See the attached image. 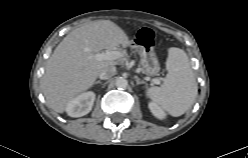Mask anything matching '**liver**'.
<instances>
[{
    "mask_svg": "<svg viewBox=\"0 0 248 158\" xmlns=\"http://www.w3.org/2000/svg\"><path fill=\"white\" fill-rule=\"evenodd\" d=\"M119 45L128 47L129 38L110 20L84 24L64 37L48 60L41 79L49 107L63 113L70 100L92 87L104 68L117 64L115 60H97L95 55ZM123 56L124 51L118 60Z\"/></svg>",
    "mask_w": 248,
    "mask_h": 158,
    "instance_id": "obj_1",
    "label": "liver"
}]
</instances>
